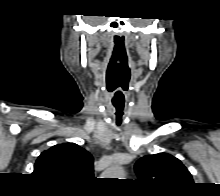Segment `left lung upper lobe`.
<instances>
[{
  "mask_svg": "<svg viewBox=\"0 0 220 196\" xmlns=\"http://www.w3.org/2000/svg\"><path fill=\"white\" fill-rule=\"evenodd\" d=\"M135 172L141 182L159 190L181 191L193 184L190 172L181 161L166 153L140 158L135 164Z\"/></svg>",
  "mask_w": 220,
  "mask_h": 196,
  "instance_id": "1",
  "label": "left lung upper lobe"
}]
</instances>
